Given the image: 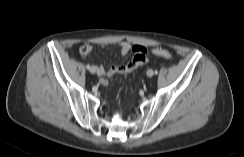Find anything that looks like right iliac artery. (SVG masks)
I'll return each mask as SVG.
<instances>
[{
	"label": "right iliac artery",
	"mask_w": 244,
	"mask_h": 157,
	"mask_svg": "<svg viewBox=\"0 0 244 157\" xmlns=\"http://www.w3.org/2000/svg\"><path fill=\"white\" fill-rule=\"evenodd\" d=\"M86 68H87L88 70H90L91 66H90L89 64H87Z\"/></svg>",
	"instance_id": "obj_1"
}]
</instances>
